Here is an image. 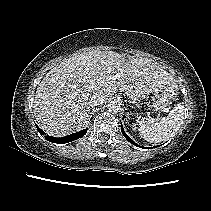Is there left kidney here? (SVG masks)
Returning <instances> with one entry per match:
<instances>
[{"instance_id":"left-kidney-1","label":"left kidney","mask_w":211,"mask_h":211,"mask_svg":"<svg viewBox=\"0 0 211 211\" xmlns=\"http://www.w3.org/2000/svg\"><path fill=\"white\" fill-rule=\"evenodd\" d=\"M131 129H132L133 131L136 130V124H135V123H133V124L131 125Z\"/></svg>"}]
</instances>
